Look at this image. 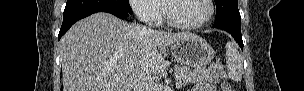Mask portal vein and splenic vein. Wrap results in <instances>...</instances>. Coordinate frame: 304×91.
I'll use <instances>...</instances> for the list:
<instances>
[{
    "mask_svg": "<svg viewBox=\"0 0 304 91\" xmlns=\"http://www.w3.org/2000/svg\"><path fill=\"white\" fill-rule=\"evenodd\" d=\"M176 86H181V84H180V83H177Z\"/></svg>",
    "mask_w": 304,
    "mask_h": 91,
    "instance_id": "portal-vein-and-splenic-vein-1",
    "label": "portal vein and splenic vein"
}]
</instances>
